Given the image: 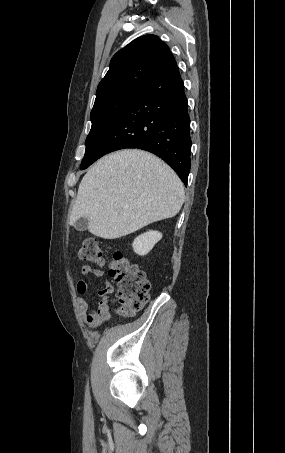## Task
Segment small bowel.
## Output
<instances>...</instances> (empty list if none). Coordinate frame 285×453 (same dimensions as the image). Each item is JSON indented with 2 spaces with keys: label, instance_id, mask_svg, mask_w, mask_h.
<instances>
[{
  "label": "small bowel",
  "instance_id": "1",
  "mask_svg": "<svg viewBox=\"0 0 285 453\" xmlns=\"http://www.w3.org/2000/svg\"><path fill=\"white\" fill-rule=\"evenodd\" d=\"M81 273L84 276H95V277H103L104 272L101 269L93 268L91 266L85 265L81 269ZM88 284L84 280H79L76 284V291L79 294L77 298V307L79 310V314L81 319L91 328L98 327L103 322L107 321L111 314L109 310V304L111 302L110 295L114 290L113 285L109 281H105L104 288L100 290V302L99 304L89 310L88 302L85 300L83 296L88 293ZM113 312L115 314H121L122 310L119 308H114Z\"/></svg>",
  "mask_w": 285,
  "mask_h": 453
}]
</instances>
